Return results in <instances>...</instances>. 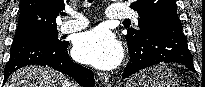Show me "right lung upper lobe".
<instances>
[{"label": "right lung upper lobe", "instance_id": "obj_1", "mask_svg": "<svg viewBox=\"0 0 205 87\" xmlns=\"http://www.w3.org/2000/svg\"><path fill=\"white\" fill-rule=\"evenodd\" d=\"M70 0H21L16 33L56 28V17Z\"/></svg>", "mask_w": 205, "mask_h": 87}]
</instances>
